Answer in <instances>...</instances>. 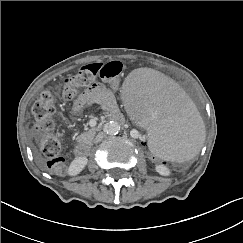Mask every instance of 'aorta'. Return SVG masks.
I'll list each match as a JSON object with an SVG mask.
<instances>
[{
	"instance_id": "obj_1",
	"label": "aorta",
	"mask_w": 243,
	"mask_h": 243,
	"mask_svg": "<svg viewBox=\"0 0 243 243\" xmlns=\"http://www.w3.org/2000/svg\"><path fill=\"white\" fill-rule=\"evenodd\" d=\"M103 129L107 135H116L120 131V125L117 122L110 121L104 125Z\"/></svg>"
}]
</instances>
